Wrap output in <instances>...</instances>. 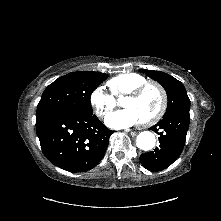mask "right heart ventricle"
Masks as SVG:
<instances>
[{
    "mask_svg": "<svg viewBox=\"0 0 221 221\" xmlns=\"http://www.w3.org/2000/svg\"><path fill=\"white\" fill-rule=\"evenodd\" d=\"M146 81L147 79L140 74L124 73L113 77L106 85L111 92V96L120 98Z\"/></svg>",
    "mask_w": 221,
    "mask_h": 221,
    "instance_id": "right-heart-ventricle-1",
    "label": "right heart ventricle"
}]
</instances>
